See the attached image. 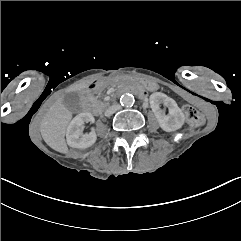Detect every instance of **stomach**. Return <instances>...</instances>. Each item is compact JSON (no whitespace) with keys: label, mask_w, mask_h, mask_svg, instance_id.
Listing matches in <instances>:
<instances>
[{"label":"stomach","mask_w":241,"mask_h":241,"mask_svg":"<svg viewBox=\"0 0 241 241\" xmlns=\"http://www.w3.org/2000/svg\"><path fill=\"white\" fill-rule=\"evenodd\" d=\"M112 82L115 84H140L149 91H154L158 89V84L154 80H149L146 78H139L136 76L125 75L122 73H115L112 78Z\"/></svg>","instance_id":"1"}]
</instances>
